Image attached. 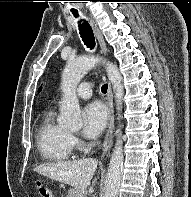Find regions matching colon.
I'll return each instance as SVG.
<instances>
[{
  "label": "colon",
  "instance_id": "obj_1",
  "mask_svg": "<svg viewBox=\"0 0 191 197\" xmlns=\"http://www.w3.org/2000/svg\"><path fill=\"white\" fill-rule=\"evenodd\" d=\"M37 191L39 197H53L51 190L42 183L38 184Z\"/></svg>",
  "mask_w": 191,
  "mask_h": 197
}]
</instances>
